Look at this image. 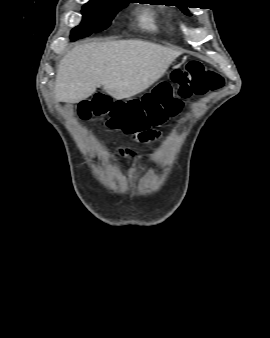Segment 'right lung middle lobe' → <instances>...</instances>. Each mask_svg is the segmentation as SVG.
Here are the masks:
<instances>
[{"instance_id":"1","label":"right lung middle lobe","mask_w":270,"mask_h":338,"mask_svg":"<svg viewBox=\"0 0 270 338\" xmlns=\"http://www.w3.org/2000/svg\"><path fill=\"white\" fill-rule=\"evenodd\" d=\"M126 4V0H90L82 8V22L71 31V39L74 41L106 29Z\"/></svg>"}]
</instances>
